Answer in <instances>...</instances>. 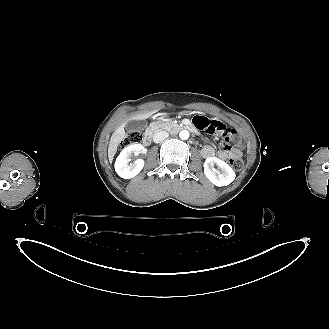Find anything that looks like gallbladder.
Segmentation results:
<instances>
[{"label":"gallbladder","mask_w":329,"mask_h":329,"mask_svg":"<svg viewBox=\"0 0 329 329\" xmlns=\"http://www.w3.org/2000/svg\"><path fill=\"white\" fill-rule=\"evenodd\" d=\"M146 124L143 121L131 120L127 123L126 128L130 131H139L141 128H145Z\"/></svg>","instance_id":"1"}]
</instances>
